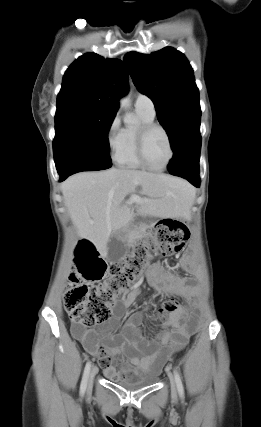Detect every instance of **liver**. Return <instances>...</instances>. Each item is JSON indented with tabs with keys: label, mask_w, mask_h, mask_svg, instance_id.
Returning <instances> with one entry per match:
<instances>
[{
	"label": "liver",
	"mask_w": 261,
	"mask_h": 427,
	"mask_svg": "<svg viewBox=\"0 0 261 427\" xmlns=\"http://www.w3.org/2000/svg\"><path fill=\"white\" fill-rule=\"evenodd\" d=\"M141 187L146 201L136 203L138 214L159 218H187L194 189L183 179L166 174L116 169L81 172L62 185L64 204L80 238L91 241L101 256H107L112 232L126 228L135 207L125 197Z\"/></svg>",
	"instance_id": "1"
}]
</instances>
